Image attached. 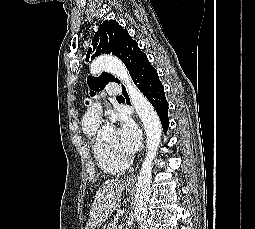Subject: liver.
<instances>
[{
	"mask_svg": "<svg viewBox=\"0 0 255 229\" xmlns=\"http://www.w3.org/2000/svg\"><path fill=\"white\" fill-rule=\"evenodd\" d=\"M123 182L120 179L105 181L98 189L85 229H95L103 224L121 202Z\"/></svg>",
	"mask_w": 255,
	"mask_h": 229,
	"instance_id": "obj_1",
	"label": "liver"
}]
</instances>
